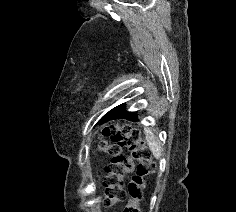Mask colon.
Segmentation results:
<instances>
[{"mask_svg": "<svg viewBox=\"0 0 236 212\" xmlns=\"http://www.w3.org/2000/svg\"><path fill=\"white\" fill-rule=\"evenodd\" d=\"M107 132L111 133L112 142L101 140L97 145V149L111 160L104 182V205L112 207L128 197L129 203L121 212H140L139 203L146 186V178L155 171L151 151L138 133L132 132L130 128H110ZM123 149L126 153L122 152ZM128 173H132V176L124 188V178Z\"/></svg>", "mask_w": 236, "mask_h": 212, "instance_id": "obj_1", "label": "colon"}]
</instances>
